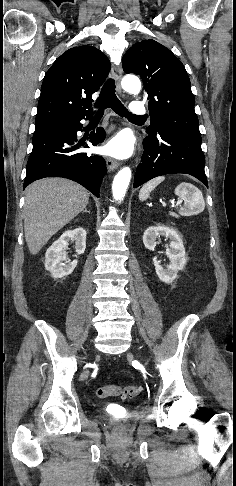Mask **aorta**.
I'll return each instance as SVG.
<instances>
[{"instance_id": "obj_1", "label": "aorta", "mask_w": 236, "mask_h": 486, "mask_svg": "<svg viewBox=\"0 0 236 486\" xmlns=\"http://www.w3.org/2000/svg\"><path fill=\"white\" fill-rule=\"evenodd\" d=\"M122 87L125 91L130 93H138L141 89V82L135 76H126L122 80ZM131 180V169L125 167L121 169L113 180L112 194L116 201H121L127 191Z\"/></svg>"}]
</instances>
